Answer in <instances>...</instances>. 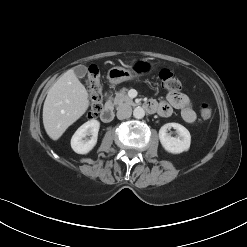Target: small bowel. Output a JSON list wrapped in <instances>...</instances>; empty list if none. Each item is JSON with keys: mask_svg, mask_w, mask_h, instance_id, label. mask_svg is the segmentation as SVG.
Returning a JSON list of instances; mask_svg holds the SVG:
<instances>
[{"mask_svg": "<svg viewBox=\"0 0 247 247\" xmlns=\"http://www.w3.org/2000/svg\"><path fill=\"white\" fill-rule=\"evenodd\" d=\"M149 102L155 106V111L162 117H169L174 109H178L181 110L182 118L187 123H194L197 118L190 98L184 93L170 92L160 102L155 100Z\"/></svg>", "mask_w": 247, "mask_h": 247, "instance_id": "small-bowel-1", "label": "small bowel"}]
</instances>
